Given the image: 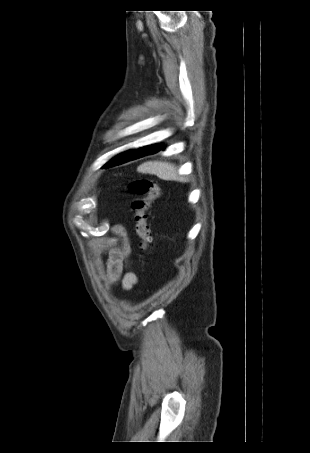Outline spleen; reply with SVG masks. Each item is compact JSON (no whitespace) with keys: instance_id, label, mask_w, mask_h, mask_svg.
<instances>
[{"instance_id":"spleen-1","label":"spleen","mask_w":310,"mask_h":453,"mask_svg":"<svg viewBox=\"0 0 310 453\" xmlns=\"http://www.w3.org/2000/svg\"><path fill=\"white\" fill-rule=\"evenodd\" d=\"M141 173L154 174L162 180L186 182V178L181 176L176 166L169 162L153 161L145 162L139 166Z\"/></svg>"}]
</instances>
